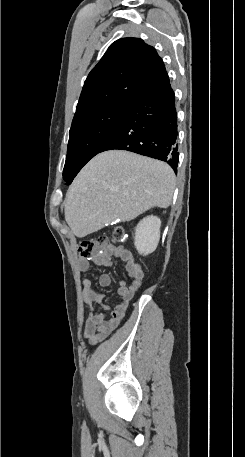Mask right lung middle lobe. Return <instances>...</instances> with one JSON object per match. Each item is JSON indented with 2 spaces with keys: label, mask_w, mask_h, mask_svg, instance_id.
Here are the masks:
<instances>
[{
  "label": "right lung middle lobe",
  "mask_w": 245,
  "mask_h": 457,
  "mask_svg": "<svg viewBox=\"0 0 245 457\" xmlns=\"http://www.w3.org/2000/svg\"><path fill=\"white\" fill-rule=\"evenodd\" d=\"M131 105L112 103L98 110L74 116L63 179L69 185L80 169L105 145Z\"/></svg>",
  "instance_id": "obj_1"
}]
</instances>
